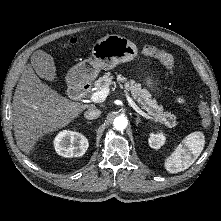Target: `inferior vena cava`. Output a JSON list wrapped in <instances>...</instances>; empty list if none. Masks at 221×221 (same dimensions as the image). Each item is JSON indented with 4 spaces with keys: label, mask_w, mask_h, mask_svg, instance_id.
I'll return each mask as SVG.
<instances>
[{
    "label": "inferior vena cava",
    "mask_w": 221,
    "mask_h": 221,
    "mask_svg": "<svg viewBox=\"0 0 221 221\" xmlns=\"http://www.w3.org/2000/svg\"><path fill=\"white\" fill-rule=\"evenodd\" d=\"M101 111L98 108H89L85 113H84V117L86 119L92 120V119H96L100 116Z\"/></svg>",
    "instance_id": "602c4592"
}]
</instances>
